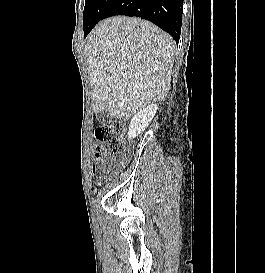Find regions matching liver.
<instances>
[{"instance_id": "liver-1", "label": "liver", "mask_w": 265, "mask_h": 273, "mask_svg": "<svg viewBox=\"0 0 265 273\" xmlns=\"http://www.w3.org/2000/svg\"><path fill=\"white\" fill-rule=\"evenodd\" d=\"M175 48L171 36L149 21L116 16L100 22L85 44L94 110L129 119L164 101Z\"/></svg>"}]
</instances>
